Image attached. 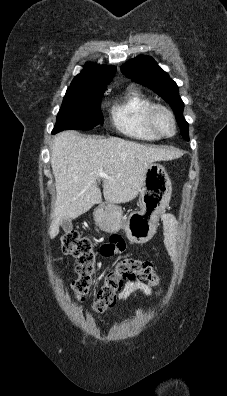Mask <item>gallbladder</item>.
Instances as JSON below:
<instances>
[{
  "instance_id": "gallbladder-1",
  "label": "gallbladder",
  "mask_w": 227,
  "mask_h": 396,
  "mask_svg": "<svg viewBox=\"0 0 227 396\" xmlns=\"http://www.w3.org/2000/svg\"><path fill=\"white\" fill-rule=\"evenodd\" d=\"M61 227L65 232H70L72 230V223L69 219L61 220Z\"/></svg>"
}]
</instances>
